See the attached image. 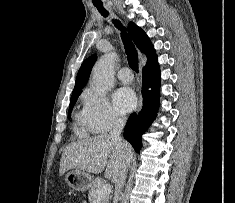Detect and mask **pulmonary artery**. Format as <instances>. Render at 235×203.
<instances>
[{
    "mask_svg": "<svg viewBox=\"0 0 235 203\" xmlns=\"http://www.w3.org/2000/svg\"><path fill=\"white\" fill-rule=\"evenodd\" d=\"M118 79L123 83H130L133 80V74L128 67H123L117 73Z\"/></svg>",
    "mask_w": 235,
    "mask_h": 203,
    "instance_id": "e3ab8cb5",
    "label": "pulmonary artery"
}]
</instances>
